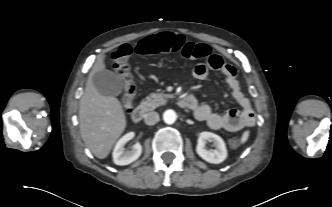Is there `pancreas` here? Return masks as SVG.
<instances>
[{"instance_id":"cf45deb5","label":"pancreas","mask_w":332,"mask_h":207,"mask_svg":"<svg viewBox=\"0 0 332 207\" xmlns=\"http://www.w3.org/2000/svg\"><path fill=\"white\" fill-rule=\"evenodd\" d=\"M168 98H171V95L152 93L146 99L142 100L140 107L147 111L154 110L158 106L165 104Z\"/></svg>"}]
</instances>
